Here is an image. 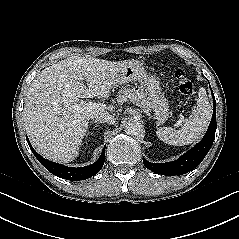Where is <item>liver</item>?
Masks as SVG:
<instances>
[{
	"label": "liver",
	"instance_id": "obj_1",
	"mask_svg": "<svg viewBox=\"0 0 239 239\" xmlns=\"http://www.w3.org/2000/svg\"><path fill=\"white\" fill-rule=\"evenodd\" d=\"M127 62L71 56L37 75L28 89L23 118L31 144L40 155L62 163L78 156L88 121L108 114L105 110L82 111L77 108L80 98L107 99Z\"/></svg>",
	"mask_w": 239,
	"mask_h": 239
}]
</instances>
